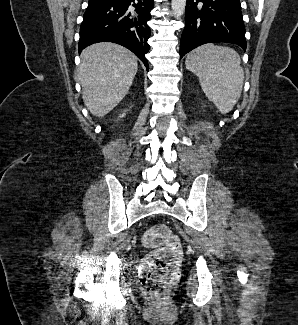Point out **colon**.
Masks as SVG:
<instances>
[{"label":"colon","instance_id":"5ec220e1","mask_svg":"<svg viewBox=\"0 0 298 325\" xmlns=\"http://www.w3.org/2000/svg\"><path fill=\"white\" fill-rule=\"evenodd\" d=\"M143 244L151 251L140 265L139 278L146 290L164 298L178 279L182 247L178 237L164 224H155L143 235Z\"/></svg>","mask_w":298,"mask_h":325}]
</instances>
